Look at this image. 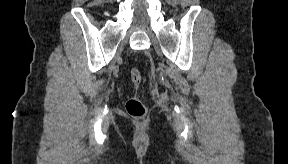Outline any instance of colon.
<instances>
[{"instance_id":"5ec220e1","label":"colon","mask_w":288,"mask_h":164,"mask_svg":"<svg viewBox=\"0 0 288 164\" xmlns=\"http://www.w3.org/2000/svg\"><path fill=\"white\" fill-rule=\"evenodd\" d=\"M130 77L135 88H140L143 82L142 75L138 69L130 70ZM126 111L130 117L143 118L147 115V109L139 96L129 98L126 102Z\"/></svg>"}]
</instances>
